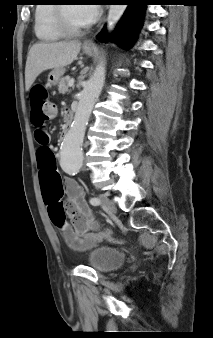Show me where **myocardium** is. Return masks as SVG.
<instances>
[{
    "instance_id": "myocardium-1",
    "label": "myocardium",
    "mask_w": 213,
    "mask_h": 338,
    "mask_svg": "<svg viewBox=\"0 0 213 338\" xmlns=\"http://www.w3.org/2000/svg\"><path fill=\"white\" fill-rule=\"evenodd\" d=\"M67 5H57L56 6V26L58 30L64 35L69 37H76L80 36L86 31H88L89 27H83V28H74L72 27L65 14V8Z\"/></svg>"
}]
</instances>
